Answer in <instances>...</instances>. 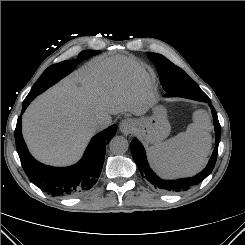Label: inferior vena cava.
Instances as JSON below:
<instances>
[{"label":"inferior vena cava","mask_w":245,"mask_h":245,"mask_svg":"<svg viewBox=\"0 0 245 245\" xmlns=\"http://www.w3.org/2000/svg\"><path fill=\"white\" fill-rule=\"evenodd\" d=\"M108 123H109V122H108L107 120L102 119V118H100V119H98V120L96 121V124H97L98 126H101V127L107 126Z\"/></svg>","instance_id":"602c4592"}]
</instances>
